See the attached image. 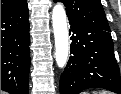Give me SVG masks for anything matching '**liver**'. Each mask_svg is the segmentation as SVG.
Returning <instances> with one entry per match:
<instances>
[{"instance_id": "obj_1", "label": "liver", "mask_w": 121, "mask_h": 94, "mask_svg": "<svg viewBox=\"0 0 121 94\" xmlns=\"http://www.w3.org/2000/svg\"><path fill=\"white\" fill-rule=\"evenodd\" d=\"M1 94H5V93L1 91Z\"/></svg>"}]
</instances>
